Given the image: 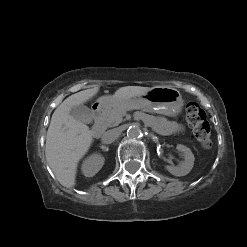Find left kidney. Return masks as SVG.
<instances>
[{
    "label": "left kidney",
    "mask_w": 247,
    "mask_h": 247,
    "mask_svg": "<svg viewBox=\"0 0 247 247\" xmlns=\"http://www.w3.org/2000/svg\"><path fill=\"white\" fill-rule=\"evenodd\" d=\"M176 149L182 153L184 161L178 166L167 165L165 169L174 176H185L192 170L195 158L192 151L184 145L178 144Z\"/></svg>",
    "instance_id": "obj_1"
}]
</instances>
